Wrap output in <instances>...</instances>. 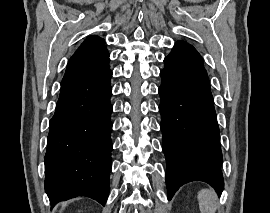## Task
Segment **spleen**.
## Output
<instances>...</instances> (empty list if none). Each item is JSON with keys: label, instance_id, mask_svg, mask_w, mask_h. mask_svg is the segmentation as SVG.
<instances>
[{"label": "spleen", "instance_id": "1", "mask_svg": "<svg viewBox=\"0 0 270 213\" xmlns=\"http://www.w3.org/2000/svg\"><path fill=\"white\" fill-rule=\"evenodd\" d=\"M198 203L201 213H215L217 208V196L211 189H202L198 192Z\"/></svg>", "mask_w": 270, "mask_h": 213}]
</instances>
